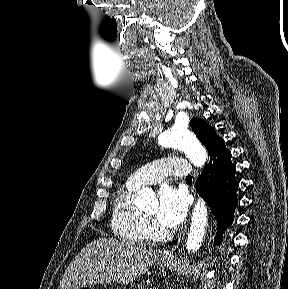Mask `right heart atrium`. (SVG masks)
I'll list each match as a JSON object with an SVG mask.
<instances>
[{"label": "right heart atrium", "instance_id": "obj_1", "mask_svg": "<svg viewBox=\"0 0 288 289\" xmlns=\"http://www.w3.org/2000/svg\"><path fill=\"white\" fill-rule=\"evenodd\" d=\"M145 231L148 237H154L158 233V227L150 218L145 220Z\"/></svg>", "mask_w": 288, "mask_h": 289}]
</instances>
